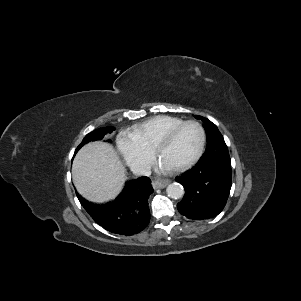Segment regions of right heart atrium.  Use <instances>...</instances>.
Listing matches in <instances>:
<instances>
[{"label": "right heart atrium", "mask_w": 301, "mask_h": 301, "mask_svg": "<svg viewBox=\"0 0 301 301\" xmlns=\"http://www.w3.org/2000/svg\"><path fill=\"white\" fill-rule=\"evenodd\" d=\"M117 148L122 155L125 163L135 172H146L153 162V154L144 148L129 133L118 135Z\"/></svg>", "instance_id": "1"}]
</instances>
